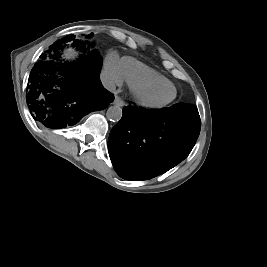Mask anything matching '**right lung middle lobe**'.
<instances>
[{"label": "right lung middle lobe", "instance_id": "obj_1", "mask_svg": "<svg viewBox=\"0 0 267 267\" xmlns=\"http://www.w3.org/2000/svg\"><path fill=\"white\" fill-rule=\"evenodd\" d=\"M90 35H92V33ZM68 42H72L73 46L77 47V49H82L83 52L93 51V50H90V43L88 41H79V40L75 39V36H73V35H68V36L58 40L57 42H55L53 45L50 46V50L54 49L57 46H60L61 44H65ZM93 52L99 54L96 51H93Z\"/></svg>", "mask_w": 267, "mask_h": 267}]
</instances>
